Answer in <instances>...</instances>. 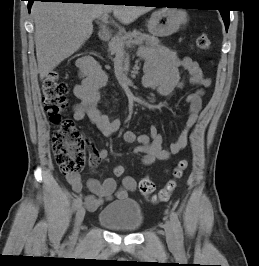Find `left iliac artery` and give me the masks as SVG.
Segmentation results:
<instances>
[{"mask_svg": "<svg viewBox=\"0 0 259 266\" xmlns=\"http://www.w3.org/2000/svg\"><path fill=\"white\" fill-rule=\"evenodd\" d=\"M170 220L174 225L178 244L181 245L183 243V230L178 216L174 211H170Z\"/></svg>", "mask_w": 259, "mask_h": 266, "instance_id": "1", "label": "left iliac artery"}]
</instances>
